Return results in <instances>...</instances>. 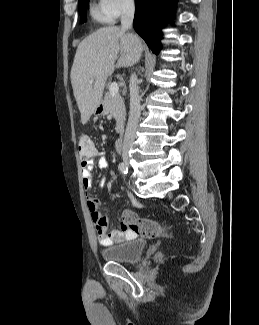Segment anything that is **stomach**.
I'll return each mask as SVG.
<instances>
[{
	"instance_id": "0dacf381",
	"label": "stomach",
	"mask_w": 259,
	"mask_h": 325,
	"mask_svg": "<svg viewBox=\"0 0 259 325\" xmlns=\"http://www.w3.org/2000/svg\"><path fill=\"white\" fill-rule=\"evenodd\" d=\"M93 113L96 116H102L106 114V106L104 101L101 100V102L96 106Z\"/></svg>"
}]
</instances>
